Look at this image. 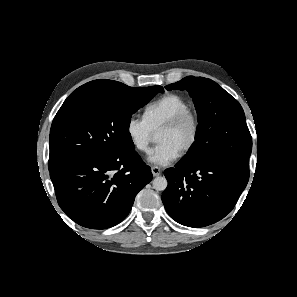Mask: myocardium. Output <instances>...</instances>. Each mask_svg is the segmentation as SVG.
<instances>
[{
  "mask_svg": "<svg viewBox=\"0 0 297 297\" xmlns=\"http://www.w3.org/2000/svg\"><path fill=\"white\" fill-rule=\"evenodd\" d=\"M185 122H190L192 126V132L191 136L188 140V142L185 144V146L180 151L181 155L187 154L196 144L199 131H200V121L198 118V115L194 110L191 108L183 110L176 114L173 118H171L169 121H167L165 124H163L158 132L160 131H169L174 130L183 125Z\"/></svg>",
  "mask_w": 297,
  "mask_h": 297,
  "instance_id": "myocardium-1",
  "label": "myocardium"
}]
</instances>
